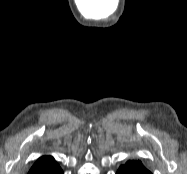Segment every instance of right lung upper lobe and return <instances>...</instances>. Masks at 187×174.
<instances>
[{
	"label": "right lung upper lobe",
	"instance_id": "obj_1",
	"mask_svg": "<svg viewBox=\"0 0 187 174\" xmlns=\"http://www.w3.org/2000/svg\"><path fill=\"white\" fill-rule=\"evenodd\" d=\"M60 167L51 156H43L32 166L28 174H54Z\"/></svg>",
	"mask_w": 187,
	"mask_h": 174
}]
</instances>
